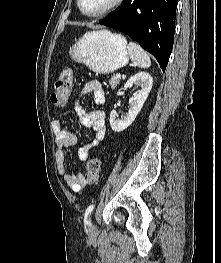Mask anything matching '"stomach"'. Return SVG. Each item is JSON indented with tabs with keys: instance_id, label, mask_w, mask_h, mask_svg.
<instances>
[{
	"instance_id": "stomach-1",
	"label": "stomach",
	"mask_w": 221,
	"mask_h": 263,
	"mask_svg": "<svg viewBox=\"0 0 221 263\" xmlns=\"http://www.w3.org/2000/svg\"><path fill=\"white\" fill-rule=\"evenodd\" d=\"M126 45L122 35L103 29L86 33L70 48V55L96 73L109 74L128 63Z\"/></svg>"
}]
</instances>
